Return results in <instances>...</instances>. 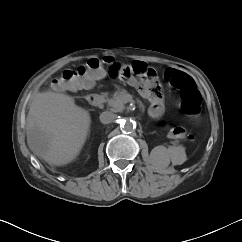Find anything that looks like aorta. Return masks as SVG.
Wrapping results in <instances>:
<instances>
[{"instance_id": "1", "label": "aorta", "mask_w": 242, "mask_h": 242, "mask_svg": "<svg viewBox=\"0 0 242 242\" xmlns=\"http://www.w3.org/2000/svg\"><path fill=\"white\" fill-rule=\"evenodd\" d=\"M120 127L124 132H132L136 128V123L133 120H123Z\"/></svg>"}]
</instances>
